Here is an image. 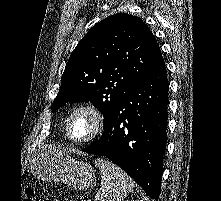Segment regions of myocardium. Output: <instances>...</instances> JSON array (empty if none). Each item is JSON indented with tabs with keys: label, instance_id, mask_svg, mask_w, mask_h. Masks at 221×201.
Instances as JSON below:
<instances>
[{
	"label": "myocardium",
	"instance_id": "myocardium-1",
	"mask_svg": "<svg viewBox=\"0 0 221 201\" xmlns=\"http://www.w3.org/2000/svg\"><path fill=\"white\" fill-rule=\"evenodd\" d=\"M78 114H86L90 116L93 121V128L91 133L84 138H75L71 134V123L73 118ZM104 125V118L100 110L92 103H84L75 107L67 117L65 124L66 136L69 140L75 143H87L94 140L102 131Z\"/></svg>",
	"mask_w": 221,
	"mask_h": 201
}]
</instances>
